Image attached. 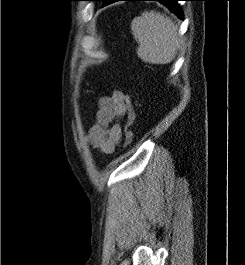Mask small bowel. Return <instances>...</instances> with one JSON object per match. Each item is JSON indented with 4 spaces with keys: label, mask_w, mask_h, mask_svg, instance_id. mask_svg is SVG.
Returning <instances> with one entry per match:
<instances>
[{
    "label": "small bowel",
    "mask_w": 245,
    "mask_h": 265,
    "mask_svg": "<svg viewBox=\"0 0 245 265\" xmlns=\"http://www.w3.org/2000/svg\"><path fill=\"white\" fill-rule=\"evenodd\" d=\"M124 93L114 90L110 96H101L97 100L95 122L90 127L85 139L93 148L103 154L113 153L122 137L120 120L127 113ZM116 122L110 126V123Z\"/></svg>",
    "instance_id": "1"
}]
</instances>
